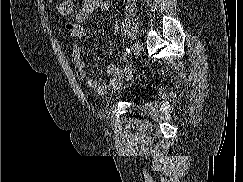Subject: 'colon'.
Returning <instances> with one entry per match:
<instances>
[{
  "label": "colon",
  "instance_id": "obj_1",
  "mask_svg": "<svg viewBox=\"0 0 243 182\" xmlns=\"http://www.w3.org/2000/svg\"><path fill=\"white\" fill-rule=\"evenodd\" d=\"M58 11L62 16L71 15L74 11L73 0H64L58 5Z\"/></svg>",
  "mask_w": 243,
  "mask_h": 182
}]
</instances>
